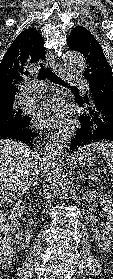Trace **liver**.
<instances>
[{
  "instance_id": "1",
  "label": "liver",
  "mask_w": 113,
  "mask_h": 279,
  "mask_svg": "<svg viewBox=\"0 0 113 279\" xmlns=\"http://www.w3.org/2000/svg\"><path fill=\"white\" fill-rule=\"evenodd\" d=\"M39 156L25 144L0 140V206L26 193L38 171Z\"/></svg>"
}]
</instances>
